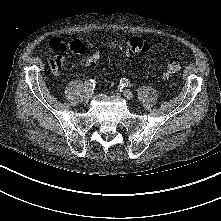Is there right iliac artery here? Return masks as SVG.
Returning a JSON list of instances; mask_svg holds the SVG:
<instances>
[{"instance_id": "right-iliac-artery-1", "label": "right iliac artery", "mask_w": 221, "mask_h": 221, "mask_svg": "<svg viewBox=\"0 0 221 221\" xmlns=\"http://www.w3.org/2000/svg\"><path fill=\"white\" fill-rule=\"evenodd\" d=\"M96 81L94 79L87 80L85 82V88L89 91H92L95 87Z\"/></svg>"}]
</instances>
